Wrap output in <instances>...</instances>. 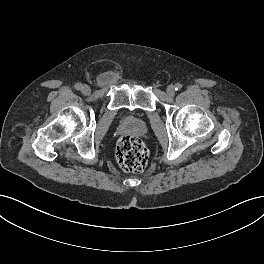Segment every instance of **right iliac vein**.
<instances>
[{
	"mask_svg": "<svg viewBox=\"0 0 264 264\" xmlns=\"http://www.w3.org/2000/svg\"><path fill=\"white\" fill-rule=\"evenodd\" d=\"M82 93L84 94V95H89L90 94V92H91V89H90V87L88 86V85H84V86H82Z\"/></svg>",
	"mask_w": 264,
	"mask_h": 264,
	"instance_id": "1",
	"label": "right iliac vein"
}]
</instances>
